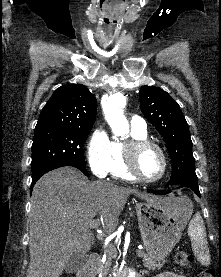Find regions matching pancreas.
Wrapping results in <instances>:
<instances>
[{
	"instance_id": "pancreas-1",
	"label": "pancreas",
	"mask_w": 221,
	"mask_h": 277,
	"mask_svg": "<svg viewBox=\"0 0 221 277\" xmlns=\"http://www.w3.org/2000/svg\"><path fill=\"white\" fill-rule=\"evenodd\" d=\"M106 253H107V256H106V261L104 263V266L101 270V273H102V276L103 277H112V271L114 269V260L116 259L117 257V251H116V248H114V246L112 245H109L107 248H106ZM137 255L138 256H143V265L144 267H146L147 269L149 270H159L163 267V265L165 264V261H163L162 263L160 262H157L151 258H149L144 252L142 251H137Z\"/></svg>"
}]
</instances>
